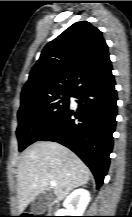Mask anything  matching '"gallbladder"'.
Instances as JSON below:
<instances>
[{
	"label": "gallbladder",
	"mask_w": 132,
	"mask_h": 217,
	"mask_svg": "<svg viewBox=\"0 0 132 217\" xmlns=\"http://www.w3.org/2000/svg\"><path fill=\"white\" fill-rule=\"evenodd\" d=\"M53 194L50 190L40 193L31 204V212L34 214H43L52 202Z\"/></svg>",
	"instance_id": "bac80fb5"
}]
</instances>
